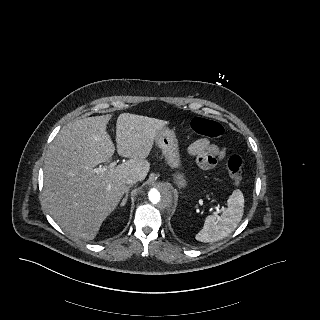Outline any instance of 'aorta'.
Instances as JSON below:
<instances>
[{
    "label": "aorta",
    "mask_w": 320,
    "mask_h": 320,
    "mask_svg": "<svg viewBox=\"0 0 320 320\" xmlns=\"http://www.w3.org/2000/svg\"><path fill=\"white\" fill-rule=\"evenodd\" d=\"M173 197V191L168 184H157L148 192L147 200L154 212L162 214L165 207L172 205Z\"/></svg>",
    "instance_id": "1"
}]
</instances>
